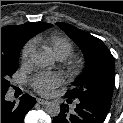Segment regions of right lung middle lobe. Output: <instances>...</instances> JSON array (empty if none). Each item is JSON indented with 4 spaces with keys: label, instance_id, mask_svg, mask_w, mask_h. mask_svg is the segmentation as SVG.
Listing matches in <instances>:
<instances>
[{
    "label": "right lung middle lobe",
    "instance_id": "obj_1",
    "mask_svg": "<svg viewBox=\"0 0 123 123\" xmlns=\"http://www.w3.org/2000/svg\"><path fill=\"white\" fill-rule=\"evenodd\" d=\"M20 50L11 53L1 52V93L7 92L10 87V78L18 69V58Z\"/></svg>",
    "mask_w": 123,
    "mask_h": 123
}]
</instances>
